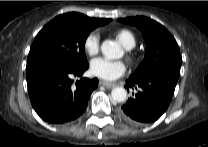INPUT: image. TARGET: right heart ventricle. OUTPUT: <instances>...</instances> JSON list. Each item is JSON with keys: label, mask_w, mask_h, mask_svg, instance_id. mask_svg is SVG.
Returning <instances> with one entry per match:
<instances>
[{"label": "right heart ventricle", "mask_w": 208, "mask_h": 147, "mask_svg": "<svg viewBox=\"0 0 208 147\" xmlns=\"http://www.w3.org/2000/svg\"><path fill=\"white\" fill-rule=\"evenodd\" d=\"M115 35L126 49H131L136 44L135 35L128 29H119L115 32Z\"/></svg>", "instance_id": "right-heart-ventricle-1"}]
</instances>
